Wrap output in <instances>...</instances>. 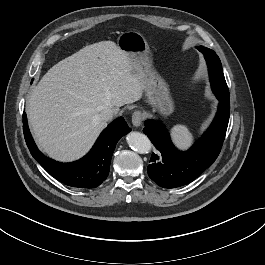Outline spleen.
Here are the masks:
<instances>
[{
    "mask_svg": "<svg viewBox=\"0 0 265 265\" xmlns=\"http://www.w3.org/2000/svg\"><path fill=\"white\" fill-rule=\"evenodd\" d=\"M171 135L175 144L181 149H187L193 143V134L184 125H175L171 129Z\"/></svg>",
    "mask_w": 265,
    "mask_h": 265,
    "instance_id": "spleen-1",
    "label": "spleen"
}]
</instances>
